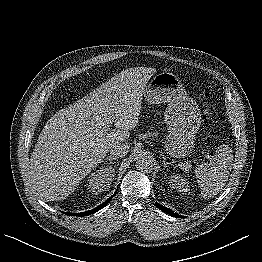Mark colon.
<instances>
[{"label":"colon","mask_w":262,"mask_h":262,"mask_svg":"<svg viewBox=\"0 0 262 262\" xmlns=\"http://www.w3.org/2000/svg\"><path fill=\"white\" fill-rule=\"evenodd\" d=\"M196 95L200 101V105H201L204 116H208L210 112L209 100H208L209 92L206 89H204L203 87H201L197 90Z\"/></svg>","instance_id":"1"}]
</instances>
